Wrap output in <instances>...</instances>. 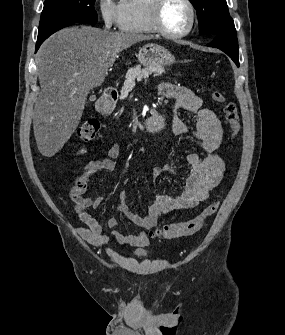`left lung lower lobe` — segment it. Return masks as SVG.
<instances>
[{"label": "left lung lower lobe", "instance_id": "obj_1", "mask_svg": "<svg viewBox=\"0 0 285 335\" xmlns=\"http://www.w3.org/2000/svg\"><path fill=\"white\" fill-rule=\"evenodd\" d=\"M212 39L213 40L207 45L224 51L232 58L236 65L239 66L238 41L236 33L215 35L212 36Z\"/></svg>", "mask_w": 285, "mask_h": 335}]
</instances>
